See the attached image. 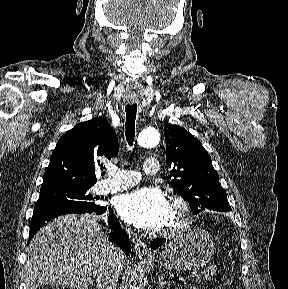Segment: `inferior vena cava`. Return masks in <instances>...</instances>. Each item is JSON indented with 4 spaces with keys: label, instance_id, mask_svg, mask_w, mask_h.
<instances>
[{
    "label": "inferior vena cava",
    "instance_id": "obj_1",
    "mask_svg": "<svg viewBox=\"0 0 288 289\" xmlns=\"http://www.w3.org/2000/svg\"><path fill=\"white\" fill-rule=\"evenodd\" d=\"M130 234V230H127ZM122 252L114 246L111 250L108 262L96 275L97 289H116L117 280L121 270Z\"/></svg>",
    "mask_w": 288,
    "mask_h": 289
}]
</instances>
